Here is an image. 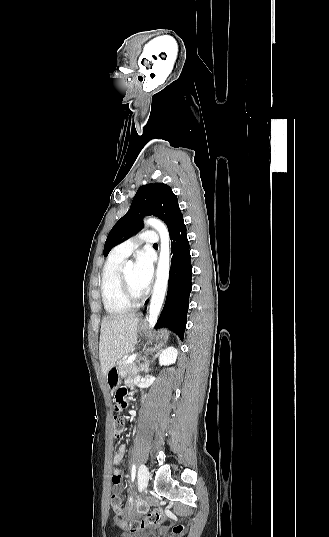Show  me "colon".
I'll use <instances>...</instances> for the list:
<instances>
[{"instance_id": "5ec220e1", "label": "colon", "mask_w": 329, "mask_h": 537, "mask_svg": "<svg viewBox=\"0 0 329 537\" xmlns=\"http://www.w3.org/2000/svg\"><path fill=\"white\" fill-rule=\"evenodd\" d=\"M124 429H125L124 420L119 416H115L114 417V436L116 438L120 437ZM110 505L115 514L120 515L122 513V500L117 494H113L111 496ZM164 518H165L164 512L160 509H157V510L148 512L146 516L140 520L131 519V520L121 521V525L127 528L128 531H130L132 534H138L140 532V529L142 528L161 524ZM120 531H123V528H120ZM183 531H184V526L181 524H178L174 526L173 528V533L176 535L181 534Z\"/></svg>"}]
</instances>
